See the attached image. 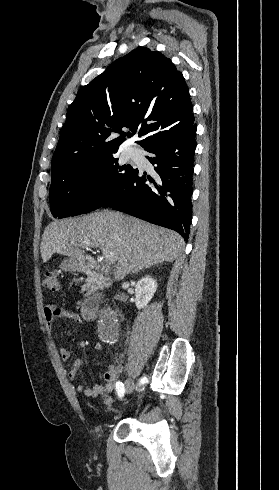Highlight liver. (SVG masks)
<instances>
[{
    "mask_svg": "<svg viewBox=\"0 0 279 490\" xmlns=\"http://www.w3.org/2000/svg\"><path fill=\"white\" fill-rule=\"evenodd\" d=\"M85 244H94L104 254H114L117 262L114 274L118 280L155 264L174 262L185 248L177 232L103 210L83 218L51 222L42 234L41 258L46 264L53 254L69 256L77 260L81 272L87 258Z\"/></svg>",
    "mask_w": 279,
    "mask_h": 490,
    "instance_id": "6515ba94",
    "label": "liver"
}]
</instances>
